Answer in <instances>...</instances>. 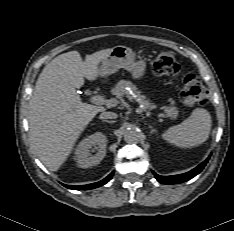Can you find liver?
<instances>
[{
    "label": "liver",
    "instance_id": "liver-1",
    "mask_svg": "<svg viewBox=\"0 0 234 231\" xmlns=\"http://www.w3.org/2000/svg\"><path fill=\"white\" fill-rule=\"evenodd\" d=\"M113 48L86 55L78 51L55 57L40 73L29 103V135L36 154L51 171H57L71 154L73 147L102 106L81 102L76 88L84 78L94 81L98 65Z\"/></svg>",
    "mask_w": 234,
    "mask_h": 231
}]
</instances>
